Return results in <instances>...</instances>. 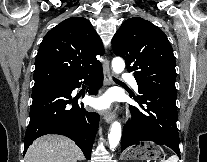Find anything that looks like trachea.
I'll return each instance as SVG.
<instances>
[{"instance_id": "obj_1", "label": "trachea", "mask_w": 207, "mask_h": 162, "mask_svg": "<svg viewBox=\"0 0 207 162\" xmlns=\"http://www.w3.org/2000/svg\"><path fill=\"white\" fill-rule=\"evenodd\" d=\"M115 81L120 82L118 79H115Z\"/></svg>"}]
</instances>
